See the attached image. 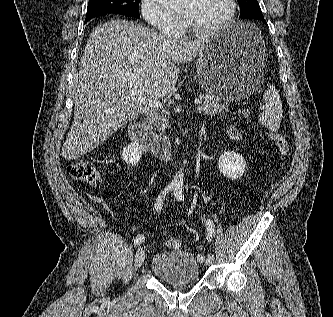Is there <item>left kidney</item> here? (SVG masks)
<instances>
[{"mask_svg": "<svg viewBox=\"0 0 333 317\" xmlns=\"http://www.w3.org/2000/svg\"><path fill=\"white\" fill-rule=\"evenodd\" d=\"M218 167L223 176L236 180L243 176L246 162L239 153L225 151L219 158Z\"/></svg>", "mask_w": 333, "mask_h": 317, "instance_id": "5707ae66", "label": "left kidney"}]
</instances>
